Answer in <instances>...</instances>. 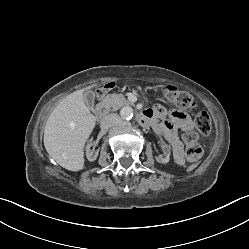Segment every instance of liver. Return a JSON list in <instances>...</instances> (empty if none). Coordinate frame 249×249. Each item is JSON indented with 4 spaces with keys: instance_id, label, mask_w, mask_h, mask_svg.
I'll use <instances>...</instances> for the list:
<instances>
[{
    "instance_id": "1",
    "label": "liver",
    "mask_w": 249,
    "mask_h": 249,
    "mask_svg": "<svg viewBox=\"0 0 249 249\" xmlns=\"http://www.w3.org/2000/svg\"><path fill=\"white\" fill-rule=\"evenodd\" d=\"M89 88L68 95L53 110L44 129L46 151L70 171L84 168V146L96 124V118L84 101V92Z\"/></svg>"
}]
</instances>
